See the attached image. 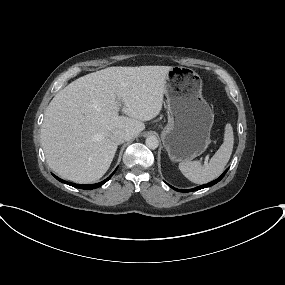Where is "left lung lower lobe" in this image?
Masks as SVG:
<instances>
[{
    "label": "left lung lower lobe",
    "instance_id": "left-lung-lower-lobe-1",
    "mask_svg": "<svg viewBox=\"0 0 285 285\" xmlns=\"http://www.w3.org/2000/svg\"><path fill=\"white\" fill-rule=\"evenodd\" d=\"M227 170H228V169H227ZM227 170H225V172H224L219 178H217L216 180H214V181H212V182H210V183H208V184H204V185L198 186V187L193 188V189L181 190V189H176V188H174V187H172V186H170V185H169V186H170L172 189H174V190H176V191H179V192H192V191L200 190V189H203V188H206V187H210V186L216 184L217 182H219V181L224 177V175L226 174Z\"/></svg>",
    "mask_w": 285,
    "mask_h": 285
}]
</instances>
